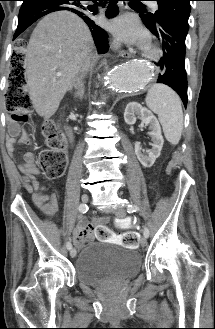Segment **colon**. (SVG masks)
I'll return each mask as SVG.
<instances>
[{
    "instance_id": "obj_1",
    "label": "colon",
    "mask_w": 215,
    "mask_h": 329,
    "mask_svg": "<svg viewBox=\"0 0 215 329\" xmlns=\"http://www.w3.org/2000/svg\"><path fill=\"white\" fill-rule=\"evenodd\" d=\"M17 44H32V37H17ZM26 56L18 46L15 55L11 56V73L9 86L6 93V105L9 111L13 113V118L19 122H25L32 112L33 105L26 88V79L24 74V62ZM42 134L46 138L48 147L42 150L38 156V165L44 176L50 180L60 178L67 166V157L64 151L65 139L58 131L55 123L47 121L42 126ZM120 228H125L127 222L120 220L117 222ZM137 229L136 225L132 226ZM113 235V234H112ZM138 234L126 232L123 234L121 242L124 247L136 249L138 246Z\"/></svg>"
}]
</instances>
